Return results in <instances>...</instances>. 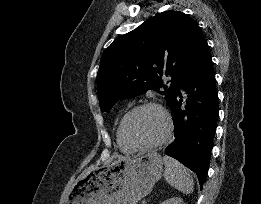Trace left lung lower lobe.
<instances>
[{
	"instance_id": "left-lung-lower-lobe-1",
	"label": "left lung lower lobe",
	"mask_w": 261,
	"mask_h": 204,
	"mask_svg": "<svg viewBox=\"0 0 261 204\" xmlns=\"http://www.w3.org/2000/svg\"><path fill=\"white\" fill-rule=\"evenodd\" d=\"M180 89L187 99H183ZM170 108L175 140L165 153L194 171L202 188L209 169L219 107L212 56L201 30L181 69Z\"/></svg>"
}]
</instances>
